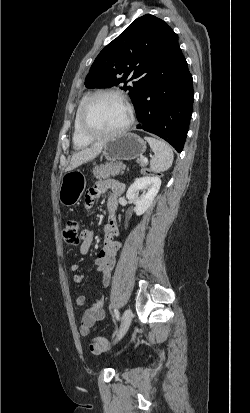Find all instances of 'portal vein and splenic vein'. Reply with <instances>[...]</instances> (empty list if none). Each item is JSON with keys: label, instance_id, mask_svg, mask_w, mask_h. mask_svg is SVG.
I'll return each instance as SVG.
<instances>
[{"label": "portal vein and splenic vein", "instance_id": "1", "mask_svg": "<svg viewBox=\"0 0 250 413\" xmlns=\"http://www.w3.org/2000/svg\"><path fill=\"white\" fill-rule=\"evenodd\" d=\"M142 160H143V162H145V163L148 162V159H147V158H143Z\"/></svg>", "mask_w": 250, "mask_h": 413}]
</instances>
